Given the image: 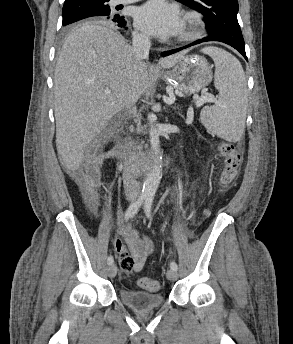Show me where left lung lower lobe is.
<instances>
[{
  "instance_id": "1",
  "label": "left lung lower lobe",
  "mask_w": 293,
  "mask_h": 344,
  "mask_svg": "<svg viewBox=\"0 0 293 344\" xmlns=\"http://www.w3.org/2000/svg\"><path fill=\"white\" fill-rule=\"evenodd\" d=\"M208 41H219V42H223V43H226L230 46H232L233 48H235L236 50H238L242 55L243 57L247 60V56H246V53H245V45L244 44H239V43H235L231 40H228V39H224V38H218V37H213V36H208V37H205L201 40H198V41H195L194 43H191L187 46H184V47H181V48H178V49H174V50H170V51H165L162 53V56H168V55H171V54H174L182 49H185L187 47H190V46H193V45H196V44H199V43H202V42H208Z\"/></svg>"
}]
</instances>
